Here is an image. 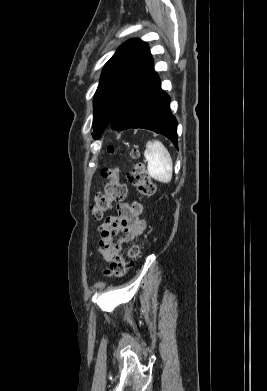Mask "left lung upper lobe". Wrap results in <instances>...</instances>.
<instances>
[{"label":"left lung upper lobe","mask_w":267,"mask_h":391,"mask_svg":"<svg viewBox=\"0 0 267 391\" xmlns=\"http://www.w3.org/2000/svg\"><path fill=\"white\" fill-rule=\"evenodd\" d=\"M153 69L148 45L125 42L106 63L94 95L93 137L99 138L127 94Z\"/></svg>","instance_id":"obj_1"}]
</instances>
